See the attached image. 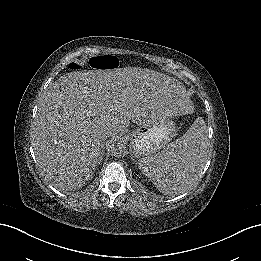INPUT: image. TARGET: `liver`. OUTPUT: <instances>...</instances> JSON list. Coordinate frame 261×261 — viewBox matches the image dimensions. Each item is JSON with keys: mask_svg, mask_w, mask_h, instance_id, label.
I'll list each match as a JSON object with an SVG mask.
<instances>
[{"mask_svg": "<svg viewBox=\"0 0 261 261\" xmlns=\"http://www.w3.org/2000/svg\"><path fill=\"white\" fill-rule=\"evenodd\" d=\"M134 94L110 73L98 71L74 73L51 87L39 101L35 123L39 166L60 179L91 173L102 157L105 136L124 129L114 111L127 105L144 117L161 107V102L150 100L141 108Z\"/></svg>", "mask_w": 261, "mask_h": 261, "instance_id": "liver-1", "label": "liver"}]
</instances>
